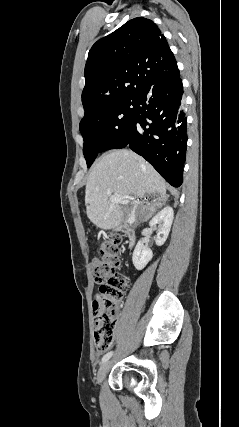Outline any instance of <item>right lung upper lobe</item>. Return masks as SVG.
<instances>
[{"instance_id": "obj_1", "label": "right lung upper lobe", "mask_w": 239, "mask_h": 427, "mask_svg": "<svg viewBox=\"0 0 239 427\" xmlns=\"http://www.w3.org/2000/svg\"><path fill=\"white\" fill-rule=\"evenodd\" d=\"M179 73L169 45L157 25L137 17L90 49L82 103L93 106L116 99H136L145 89Z\"/></svg>"}]
</instances>
